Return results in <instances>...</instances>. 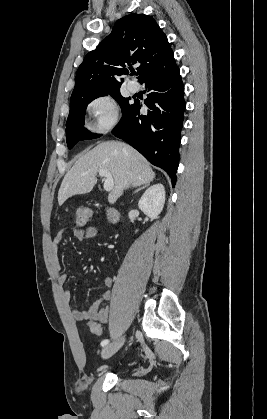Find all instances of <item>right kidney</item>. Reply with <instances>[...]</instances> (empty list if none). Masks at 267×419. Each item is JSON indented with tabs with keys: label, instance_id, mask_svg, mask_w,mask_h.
<instances>
[{
	"label": "right kidney",
	"instance_id": "1",
	"mask_svg": "<svg viewBox=\"0 0 267 419\" xmlns=\"http://www.w3.org/2000/svg\"><path fill=\"white\" fill-rule=\"evenodd\" d=\"M165 203V188L163 184L149 187L141 196L138 207L151 219H156L163 210Z\"/></svg>",
	"mask_w": 267,
	"mask_h": 419
}]
</instances>
